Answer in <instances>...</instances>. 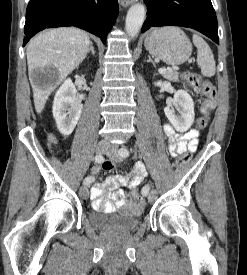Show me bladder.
Instances as JSON below:
<instances>
[{
  "mask_svg": "<svg viewBox=\"0 0 247 275\" xmlns=\"http://www.w3.org/2000/svg\"><path fill=\"white\" fill-rule=\"evenodd\" d=\"M140 214V209L133 214L97 210L90 213L89 221L92 225L101 229L119 232H131L139 225Z\"/></svg>",
  "mask_w": 247,
  "mask_h": 275,
  "instance_id": "1",
  "label": "bladder"
}]
</instances>
